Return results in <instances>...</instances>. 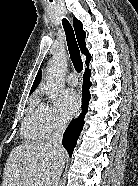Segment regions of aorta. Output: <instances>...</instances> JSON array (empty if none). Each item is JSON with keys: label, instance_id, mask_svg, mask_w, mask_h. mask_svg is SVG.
Returning <instances> with one entry per match:
<instances>
[{"label": "aorta", "instance_id": "1", "mask_svg": "<svg viewBox=\"0 0 138 186\" xmlns=\"http://www.w3.org/2000/svg\"><path fill=\"white\" fill-rule=\"evenodd\" d=\"M67 69V57L64 53L55 55L50 63L46 85L49 97L56 101L61 91L64 89V75Z\"/></svg>", "mask_w": 138, "mask_h": 186}]
</instances>
